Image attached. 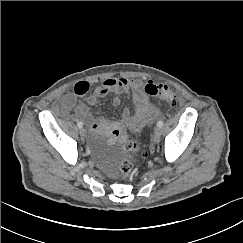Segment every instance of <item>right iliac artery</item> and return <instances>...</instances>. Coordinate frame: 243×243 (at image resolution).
Here are the masks:
<instances>
[{"mask_svg":"<svg viewBox=\"0 0 243 243\" xmlns=\"http://www.w3.org/2000/svg\"><path fill=\"white\" fill-rule=\"evenodd\" d=\"M77 126H78L79 128H82V127H83V123L79 121V122L77 123Z\"/></svg>","mask_w":243,"mask_h":243,"instance_id":"82829eb1","label":"right iliac artery"}]
</instances>
